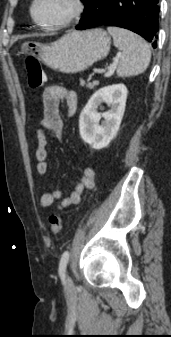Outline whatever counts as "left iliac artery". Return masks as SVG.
Listing matches in <instances>:
<instances>
[{
	"label": "left iliac artery",
	"instance_id": "obj_1",
	"mask_svg": "<svg viewBox=\"0 0 171 337\" xmlns=\"http://www.w3.org/2000/svg\"><path fill=\"white\" fill-rule=\"evenodd\" d=\"M69 260V251H64L61 259H60V263H59V275L60 278L64 281L65 279V270H66V266Z\"/></svg>",
	"mask_w": 171,
	"mask_h": 337
}]
</instances>
